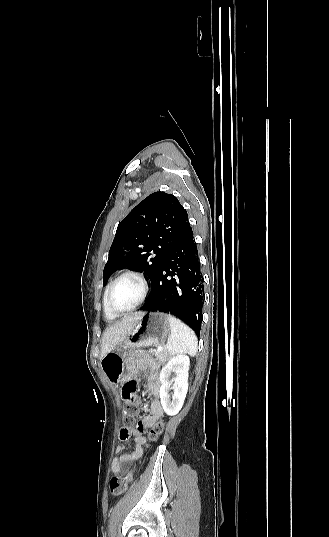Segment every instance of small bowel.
Returning <instances> with one entry per match:
<instances>
[{"label": "small bowel", "instance_id": "1", "mask_svg": "<svg viewBox=\"0 0 329 537\" xmlns=\"http://www.w3.org/2000/svg\"><path fill=\"white\" fill-rule=\"evenodd\" d=\"M127 372L132 379L123 383V390L120 396L124 400L131 399L141 389L138 380L133 377H144L147 381V391L153 396V400L150 405V413L143 419L142 426L153 427L163 416V409L159 400L160 379L158 366L148 354L134 353L127 359ZM120 440L122 443L116 447L117 455L112 462V471L115 474L123 473L125 464L132 463L142 456V445L146 442L142 429H122ZM128 442H136V448L131 454L124 452Z\"/></svg>", "mask_w": 329, "mask_h": 537}]
</instances>
